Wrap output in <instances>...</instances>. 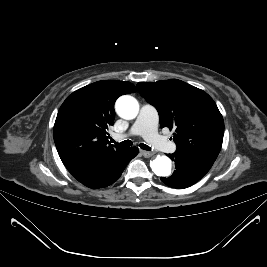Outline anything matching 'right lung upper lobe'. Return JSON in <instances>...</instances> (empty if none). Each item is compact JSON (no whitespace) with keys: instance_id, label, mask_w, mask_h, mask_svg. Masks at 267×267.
Returning <instances> with one entry per match:
<instances>
[{"instance_id":"obj_1","label":"right lung upper lobe","mask_w":267,"mask_h":267,"mask_svg":"<svg viewBox=\"0 0 267 267\" xmlns=\"http://www.w3.org/2000/svg\"><path fill=\"white\" fill-rule=\"evenodd\" d=\"M135 91L130 82L98 81L76 90L61 105L53 137L63 164L77 180L124 150L109 143L107 130L114 123L116 99Z\"/></svg>"}]
</instances>
